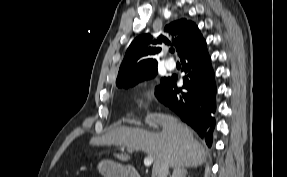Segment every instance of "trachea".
Instances as JSON below:
<instances>
[{"label":"trachea","instance_id":"1","mask_svg":"<svg viewBox=\"0 0 287 177\" xmlns=\"http://www.w3.org/2000/svg\"><path fill=\"white\" fill-rule=\"evenodd\" d=\"M170 51H171V52H174L175 50H174V49H171Z\"/></svg>","mask_w":287,"mask_h":177}]
</instances>
